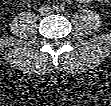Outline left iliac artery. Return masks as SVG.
Returning <instances> with one entry per match:
<instances>
[{"label":"left iliac artery","mask_w":111,"mask_h":106,"mask_svg":"<svg viewBox=\"0 0 111 106\" xmlns=\"http://www.w3.org/2000/svg\"><path fill=\"white\" fill-rule=\"evenodd\" d=\"M60 10H61V11H64V7H63V6H60Z\"/></svg>","instance_id":"44dca946"}]
</instances>
